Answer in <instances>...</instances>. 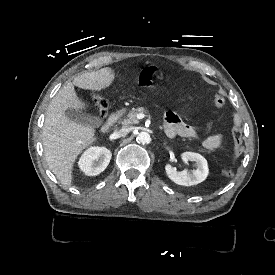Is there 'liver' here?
I'll list each match as a JSON object with an SVG mask.
<instances>
[{
	"label": "liver",
	"mask_w": 275,
	"mask_h": 275,
	"mask_svg": "<svg viewBox=\"0 0 275 275\" xmlns=\"http://www.w3.org/2000/svg\"><path fill=\"white\" fill-rule=\"evenodd\" d=\"M115 77V72L108 67L83 73L65 84L49 104L42 131V144L49 168L64 185L74 184L76 161L83 151L98 142L94 127L84 126L66 115L67 110L88 112L92 106L91 102L78 98L74 87L100 92L109 88Z\"/></svg>",
	"instance_id": "1"
}]
</instances>
